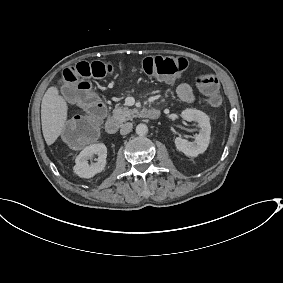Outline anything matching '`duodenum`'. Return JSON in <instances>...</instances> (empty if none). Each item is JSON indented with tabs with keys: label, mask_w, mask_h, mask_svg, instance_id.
I'll list each match as a JSON object with an SVG mask.
<instances>
[{
	"label": "duodenum",
	"mask_w": 283,
	"mask_h": 283,
	"mask_svg": "<svg viewBox=\"0 0 283 283\" xmlns=\"http://www.w3.org/2000/svg\"><path fill=\"white\" fill-rule=\"evenodd\" d=\"M143 117L150 120H155L160 117L158 109H149L144 112ZM118 122L115 119H108L105 124V129L108 134H115L118 131Z\"/></svg>",
	"instance_id": "obj_1"
}]
</instances>
